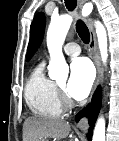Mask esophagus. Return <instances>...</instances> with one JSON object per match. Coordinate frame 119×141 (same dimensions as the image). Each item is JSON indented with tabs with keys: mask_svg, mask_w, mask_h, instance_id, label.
Wrapping results in <instances>:
<instances>
[{
	"mask_svg": "<svg viewBox=\"0 0 119 141\" xmlns=\"http://www.w3.org/2000/svg\"><path fill=\"white\" fill-rule=\"evenodd\" d=\"M78 3H79V7L81 8L84 4V1L79 0ZM85 22H86V25H87L89 32H90L89 55H90L91 59L93 60L94 65L96 67V71H97L96 80H95L94 87H93V91H94L102 80V69H101V64H100V61H99L97 53H96L97 42H96V35L94 32L93 25L91 23L90 18H86ZM77 126L84 131L87 130V128H88L87 119L82 118L79 121V123L77 124Z\"/></svg>",
	"mask_w": 119,
	"mask_h": 141,
	"instance_id": "esophagus-1",
	"label": "esophagus"
}]
</instances>
